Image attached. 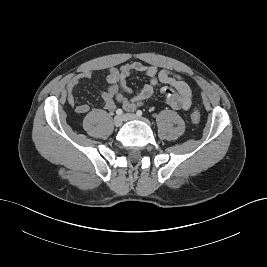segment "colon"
Here are the masks:
<instances>
[{"mask_svg":"<svg viewBox=\"0 0 267 267\" xmlns=\"http://www.w3.org/2000/svg\"><path fill=\"white\" fill-rule=\"evenodd\" d=\"M191 120L194 124H198L201 120L200 113L196 110L192 111L191 113Z\"/></svg>","mask_w":267,"mask_h":267,"instance_id":"5ec220e1","label":"colon"}]
</instances>
